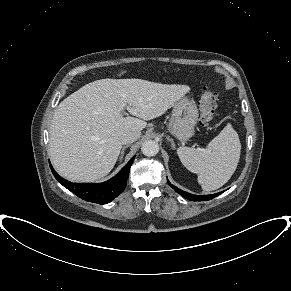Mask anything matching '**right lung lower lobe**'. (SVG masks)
Masks as SVG:
<instances>
[{
    "mask_svg": "<svg viewBox=\"0 0 291 291\" xmlns=\"http://www.w3.org/2000/svg\"><path fill=\"white\" fill-rule=\"evenodd\" d=\"M134 157L120 170V172L110 180L98 183H72L59 176L50 164L51 171L54 177L65 188L73 192L76 196L88 202L106 204L120 195L125 187L129 176L130 167L134 161Z\"/></svg>",
    "mask_w": 291,
    "mask_h": 291,
    "instance_id": "right-lung-lower-lobe-1",
    "label": "right lung lower lobe"
}]
</instances>
